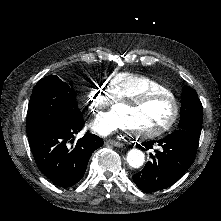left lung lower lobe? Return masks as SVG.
Segmentation results:
<instances>
[{
    "label": "left lung lower lobe",
    "mask_w": 221,
    "mask_h": 221,
    "mask_svg": "<svg viewBox=\"0 0 221 221\" xmlns=\"http://www.w3.org/2000/svg\"><path fill=\"white\" fill-rule=\"evenodd\" d=\"M199 138L189 131L179 129L159 141L143 142L146 149L152 148L157 142L162 150H156L155 156L150 154L152 162H148L142 171L133 175L138 188L152 193L177 182L192 165Z\"/></svg>",
    "instance_id": "obj_1"
}]
</instances>
